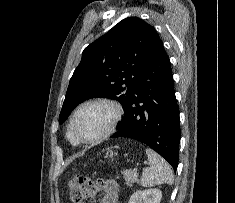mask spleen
<instances>
[{
	"label": "spleen",
	"instance_id": "1",
	"mask_svg": "<svg viewBox=\"0 0 235 203\" xmlns=\"http://www.w3.org/2000/svg\"><path fill=\"white\" fill-rule=\"evenodd\" d=\"M149 168H145L142 173L140 183L143 187H153L160 184H173L174 176L171 166L156 152L146 149Z\"/></svg>",
	"mask_w": 235,
	"mask_h": 203
}]
</instances>
